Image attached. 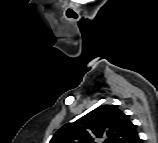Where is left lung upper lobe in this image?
<instances>
[{
  "label": "left lung upper lobe",
  "instance_id": "1",
  "mask_svg": "<svg viewBox=\"0 0 158 143\" xmlns=\"http://www.w3.org/2000/svg\"><path fill=\"white\" fill-rule=\"evenodd\" d=\"M137 143L135 126L116 105H101L73 123L61 127L50 143Z\"/></svg>",
  "mask_w": 158,
  "mask_h": 143
}]
</instances>
